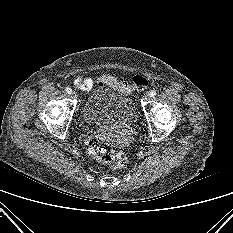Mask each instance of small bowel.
Segmentation results:
<instances>
[{"label":"small bowel","mask_w":233,"mask_h":233,"mask_svg":"<svg viewBox=\"0 0 233 233\" xmlns=\"http://www.w3.org/2000/svg\"><path fill=\"white\" fill-rule=\"evenodd\" d=\"M73 83L76 88L84 92L89 91L93 86L92 79L88 77H83L82 75H78L77 77H75L73 79Z\"/></svg>","instance_id":"1"}]
</instances>
